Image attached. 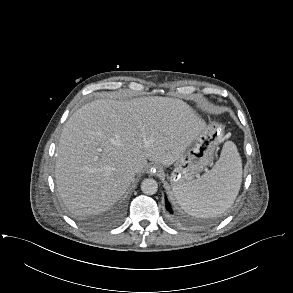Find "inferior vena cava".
Here are the masks:
<instances>
[{
  "label": "inferior vena cava",
  "instance_id": "602c4592",
  "mask_svg": "<svg viewBox=\"0 0 293 293\" xmlns=\"http://www.w3.org/2000/svg\"><path fill=\"white\" fill-rule=\"evenodd\" d=\"M140 170H141V168H140V166L138 164H132L130 166V171L132 173H138V172H140Z\"/></svg>",
  "mask_w": 293,
  "mask_h": 293
}]
</instances>
